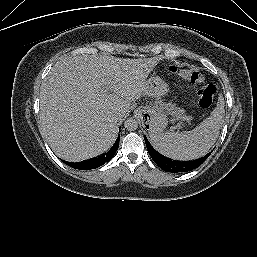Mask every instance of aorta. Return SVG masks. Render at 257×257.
<instances>
[{"label": "aorta", "mask_w": 257, "mask_h": 257, "mask_svg": "<svg viewBox=\"0 0 257 257\" xmlns=\"http://www.w3.org/2000/svg\"><path fill=\"white\" fill-rule=\"evenodd\" d=\"M124 127L128 130V131H135L138 128V122L136 119L134 118H128L125 122H124Z\"/></svg>", "instance_id": "1"}]
</instances>
